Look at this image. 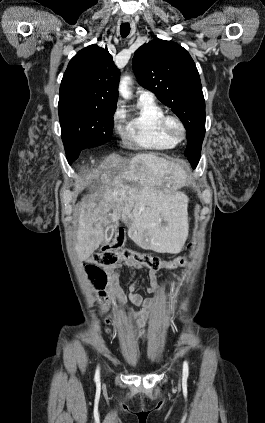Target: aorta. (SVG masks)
Returning a JSON list of instances; mask_svg holds the SVG:
<instances>
[{
	"label": "aorta",
	"instance_id": "aorta-1",
	"mask_svg": "<svg viewBox=\"0 0 265 423\" xmlns=\"http://www.w3.org/2000/svg\"><path fill=\"white\" fill-rule=\"evenodd\" d=\"M130 83H131V78L129 76H124L120 80L118 90L124 99H129L131 97V92L129 90Z\"/></svg>",
	"mask_w": 265,
	"mask_h": 423
}]
</instances>
